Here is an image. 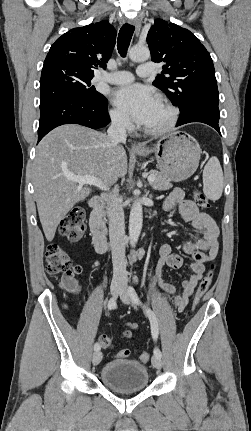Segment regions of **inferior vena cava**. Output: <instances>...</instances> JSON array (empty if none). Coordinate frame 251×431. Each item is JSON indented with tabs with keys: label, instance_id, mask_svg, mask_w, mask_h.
<instances>
[{
	"label": "inferior vena cava",
	"instance_id": "1",
	"mask_svg": "<svg viewBox=\"0 0 251 431\" xmlns=\"http://www.w3.org/2000/svg\"><path fill=\"white\" fill-rule=\"evenodd\" d=\"M129 119L125 115H118L112 119L107 130L108 138L113 145L126 143V130ZM107 216L109 219V237L112 251L113 278L127 280L125 259V222L124 211L118 196L111 195L106 199Z\"/></svg>",
	"mask_w": 251,
	"mask_h": 431
}]
</instances>
